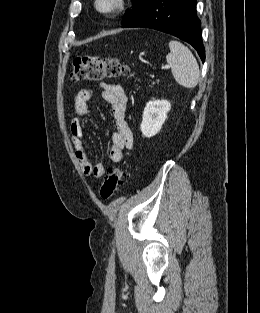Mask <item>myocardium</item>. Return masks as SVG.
I'll return each instance as SVG.
<instances>
[{"label":"myocardium","mask_w":260,"mask_h":313,"mask_svg":"<svg viewBox=\"0 0 260 313\" xmlns=\"http://www.w3.org/2000/svg\"><path fill=\"white\" fill-rule=\"evenodd\" d=\"M100 4H101V0H95L94 6H95L96 11L102 15L109 16V15L116 14L120 12L121 10H123L126 5V0H112L111 5L105 9L102 8Z\"/></svg>","instance_id":"obj_1"}]
</instances>
